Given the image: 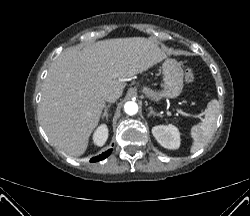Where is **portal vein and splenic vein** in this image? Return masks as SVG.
I'll return each instance as SVG.
<instances>
[{
    "label": "portal vein and splenic vein",
    "mask_w": 250,
    "mask_h": 216,
    "mask_svg": "<svg viewBox=\"0 0 250 216\" xmlns=\"http://www.w3.org/2000/svg\"><path fill=\"white\" fill-rule=\"evenodd\" d=\"M179 113L184 114L186 116H193V117H196V118H201V115H190V114H186V113H184L182 111H179Z\"/></svg>",
    "instance_id": "1"
}]
</instances>
